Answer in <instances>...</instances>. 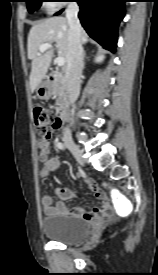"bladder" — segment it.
<instances>
[{
    "instance_id": "bladder-1",
    "label": "bladder",
    "mask_w": 158,
    "mask_h": 275,
    "mask_svg": "<svg viewBox=\"0 0 158 275\" xmlns=\"http://www.w3.org/2000/svg\"><path fill=\"white\" fill-rule=\"evenodd\" d=\"M42 229L51 240L75 243L88 235L90 223L79 216L52 213L43 219Z\"/></svg>"
}]
</instances>
